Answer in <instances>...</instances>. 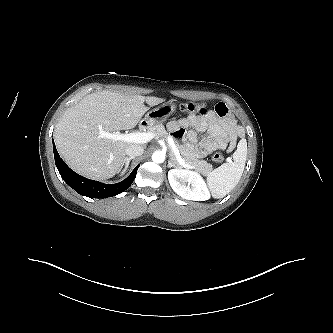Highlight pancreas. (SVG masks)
Segmentation results:
<instances>
[{
	"mask_svg": "<svg viewBox=\"0 0 333 333\" xmlns=\"http://www.w3.org/2000/svg\"><path fill=\"white\" fill-rule=\"evenodd\" d=\"M147 130H148V132H152V133L156 134V136H158V137H166L168 134L162 123L150 125V126H148ZM177 148L180 151L182 150V148L179 145H177ZM169 149H170V155L172 157H174V153L172 151L171 146H169ZM182 158L187 165L193 166L197 171H199L203 174H207L212 170V165L207 163L205 160H198L193 155H187L183 152Z\"/></svg>",
	"mask_w": 333,
	"mask_h": 333,
	"instance_id": "obj_1",
	"label": "pancreas"
}]
</instances>
